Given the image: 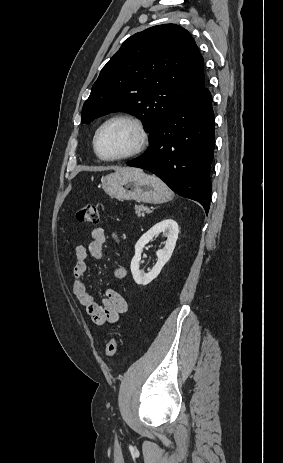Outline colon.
<instances>
[{"instance_id":"5ec220e1","label":"colon","mask_w":283,"mask_h":463,"mask_svg":"<svg viewBox=\"0 0 283 463\" xmlns=\"http://www.w3.org/2000/svg\"><path fill=\"white\" fill-rule=\"evenodd\" d=\"M99 211L95 204L88 203L84 205L77 213V219L84 223H98L99 222ZM118 348V341L116 338H111L105 348V354L107 357H113Z\"/></svg>"}]
</instances>
